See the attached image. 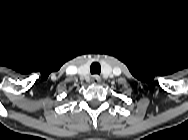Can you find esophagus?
Here are the masks:
<instances>
[{
    "instance_id": "esophagus-1",
    "label": "esophagus",
    "mask_w": 188,
    "mask_h": 140,
    "mask_svg": "<svg viewBox=\"0 0 188 140\" xmlns=\"http://www.w3.org/2000/svg\"><path fill=\"white\" fill-rule=\"evenodd\" d=\"M101 81V77L99 75H94L93 76V82L94 83H100Z\"/></svg>"
}]
</instances>
